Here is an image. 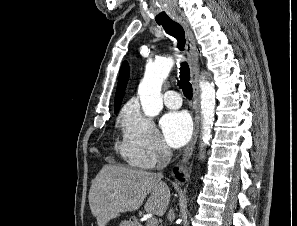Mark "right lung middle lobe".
<instances>
[{
	"mask_svg": "<svg viewBox=\"0 0 297 226\" xmlns=\"http://www.w3.org/2000/svg\"><path fill=\"white\" fill-rule=\"evenodd\" d=\"M118 110H119V107H117V108H114V111H115V112H117Z\"/></svg>",
	"mask_w": 297,
	"mask_h": 226,
	"instance_id": "1",
	"label": "right lung middle lobe"
}]
</instances>
